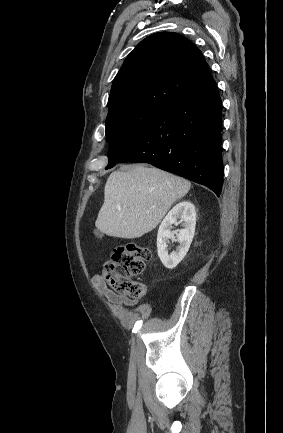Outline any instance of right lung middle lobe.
I'll list each match as a JSON object with an SVG mask.
<instances>
[{"label":"right lung middle lobe","instance_id":"obj_1","mask_svg":"<svg viewBox=\"0 0 283 433\" xmlns=\"http://www.w3.org/2000/svg\"><path fill=\"white\" fill-rule=\"evenodd\" d=\"M163 109L147 105H125L109 110L106 118L108 158L122 151L141 129Z\"/></svg>","mask_w":283,"mask_h":433}]
</instances>
